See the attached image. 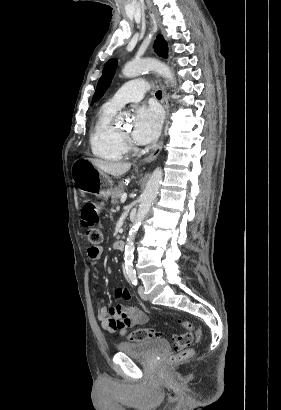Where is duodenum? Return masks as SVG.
I'll use <instances>...</instances> for the list:
<instances>
[{
  "label": "duodenum",
  "instance_id": "410a0bca",
  "mask_svg": "<svg viewBox=\"0 0 281 410\" xmlns=\"http://www.w3.org/2000/svg\"><path fill=\"white\" fill-rule=\"evenodd\" d=\"M115 248L118 250H122L124 249L125 246V241L123 239H118L115 244H114Z\"/></svg>",
  "mask_w": 281,
  "mask_h": 410
}]
</instances>
